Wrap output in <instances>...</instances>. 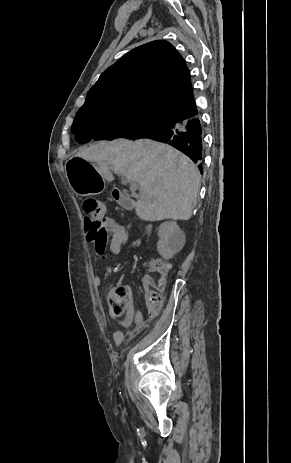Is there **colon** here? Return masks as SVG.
Wrapping results in <instances>:
<instances>
[{
	"instance_id": "obj_1",
	"label": "colon",
	"mask_w": 291,
	"mask_h": 463,
	"mask_svg": "<svg viewBox=\"0 0 291 463\" xmlns=\"http://www.w3.org/2000/svg\"><path fill=\"white\" fill-rule=\"evenodd\" d=\"M82 209L86 217L84 228H101V220L105 215L104 204L94 198H88L84 200ZM148 271L145 282L146 305L149 315L154 316L163 303L168 265L160 260H152L148 264ZM108 299L114 314L120 317L130 302V293L125 287H113L108 293Z\"/></svg>"
}]
</instances>
